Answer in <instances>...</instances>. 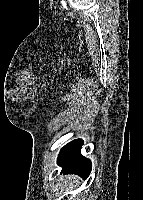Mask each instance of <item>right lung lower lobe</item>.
Returning a JSON list of instances; mask_svg holds the SVG:
<instances>
[{
    "label": "right lung lower lobe",
    "mask_w": 143,
    "mask_h": 200,
    "mask_svg": "<svg viewBox=\"0 0 143 200\" xmlns=\"http://www.w3.org/2000/svg\"><path fill=\"white\" fill-rule=\"evenodd\" d=\"M83 141L75 140L64 146L58 157V165L62 166V172L74 173L83 178H87L91 171V161L83 157L80 153Z\"/></svg>",
    "instance_id": "right-lung-lower-lobe-1"
}]
</instances>
